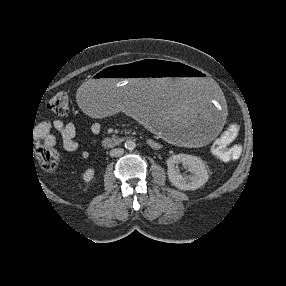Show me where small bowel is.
I'll return each mask as SVG.
<instances>
[{"mask_svg":"<svg viewBox=\"0 0 286 286\" xmlns=\"http://www.w3.org/2000/svg\"><path fill=\"white\" fill-rule=\"evenodd\" d=\"M102 127L98 122H94L90 126V131L93 135L91 140V146L96 143V137L101 133ZM52 131L59 134L61 138V144L67 152H77L80 150L79 143L75 140L77 129L73 123H66L61 120H54L48 122H41L35 128V136L37 138L44 139V141L54 146L57 143V137ZM83 158L87 159L91 156L90 148H85L80 151ZM241 154V148L239 145H234L230 148L229 159L236 160Z\"/></svg>","mask_w":286,"mask_h":286,"instance_id":"small-bowel-1","label":"small bowel"}]
</instances>
